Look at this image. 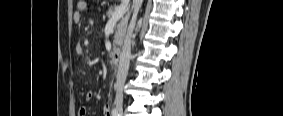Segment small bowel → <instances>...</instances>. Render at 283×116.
<instances>
[{
  "mask_svg": "<svg viewBox=\"0 0 283 116\" xmlns=\"http://www.w3.org/2000/svg\"><path fill=\"white\" fill-rule=\"evenodd\" d=\"M81 4V8L77 9L74 13H73V21L75 23H80L83 19V12H84V6L86 5L85 1L80 2ZM75 51L78 55H84V49L81 45H77L75 48ZM94 98V93L92 91H88L85 95V99L87 101H91ZM102 113L104 116H111V108L109 104H105L102 107ZM87 114V110L85 107H81L78 111V115L79 116H84Z\"/></svg>",
  "mask_w": 283,
  "mask_h": 116,
  "instance_id": "obj_1",
  "label": "small bowel"
}]
</instances>
